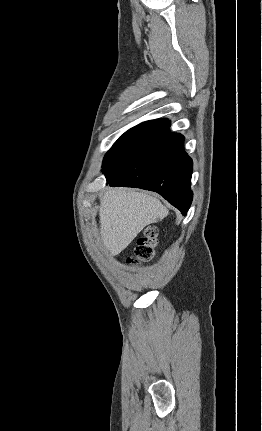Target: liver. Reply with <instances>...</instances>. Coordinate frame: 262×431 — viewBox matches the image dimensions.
<instances>
[{
  "label": "liver",
  "mask_w": 262,
  "mask_h": 431,
  "mask_svg": "<svg viewBox=\"0 0 262 431\" xmlns=\"http://www.w3.org/2000/svg\"><path fill=\"white\" fill-rule=\"evenodd\" d=\"M169 210L145 192L109 189L100 200V234L111 255L123 251L143 228L164 219Z\"/></svg>",
  "instance_id": "6515ba94"
}]
</instances>
